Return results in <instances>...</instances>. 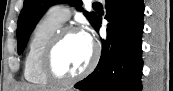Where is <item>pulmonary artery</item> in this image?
Instances as JSON below:
<instances>
[{
	"label": "pulmonary artery",
	"instance_id": "1",
	"mask_svg": "<svg viewBox=\"0 0 173 91\" xmlns=\"http://www.w3.org/2000/svg\"><path fill=\"white\" fill-rule=\"evenodd\" d=\"M51 13L62 23L70 17V10L66 5H54L51 8Z\"/></svg>",
	"mask_w": 173,
	"mask_h": 91
}]
</instances>
